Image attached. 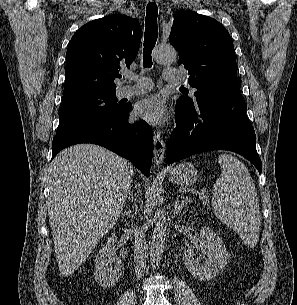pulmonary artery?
<instances>
[{"label":"pulmonary artery","instance_id":"pulmonary-artery-1","mask_svg":"<svg viewBox=\"0 0 297 305\" xmlns=\"http://www.w3.org/2000/svg\"><path fill=\"white\" fill-rule=\"evenodd\" d=\"M180 71L175 69H166L163 73L164 80L167 82L176 83L180 80ZM127 79L136 80L137 83L135 85H125L119 89L120 97H132L135 95H140L146 93L152 89V82L144 77L135 75V74H127L125 76ZM195 91V89H192Z\"/></svg>","mask_w":297,"mask_h":305}]
</instances>
